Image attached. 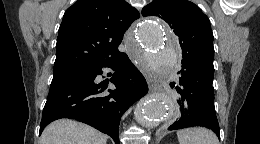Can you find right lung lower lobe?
I'll use <instances>...</instances> for the list:
<instances>
[{
	"label": "right lung lower lobe",
	"mask_w": 260,
	"mask_h": 144,
	"mask_svg": "<svg viewBox=\"0 0 260 144\" xmlns=\"http://www.w3.org/2000/svg\"><path fill=\"white\" fill-rule=\"evenodd\" d=\"M115 71V90L97 84L102 68ZM148 92L145 78L128 56L119 52L108 59L80 65L53 77L40 124V134L52 121L70 118L108 134L119 144V123L123 113Z\"/></svg>",
	"instance_id": "obj_1"
}]
</instances>
